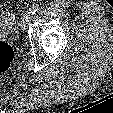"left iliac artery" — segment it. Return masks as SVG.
<instances>
[{
    "label": "left iliac artery",
    "mask_w": 113,
    "mask_h": 113,
    "mask_svg": "<svg viewBox=\"0 0 113 113\" xmlns=\"http://www.w3.org/2000/svg\"><path fill=\"white\" fill-rule=\"evenodd\" d=\"M31 13H36L39 11V5L37 3H34L30 8Z\"/></svg>",
    "instance_id": "left-iliac-artery-1"
}]
</instances>
